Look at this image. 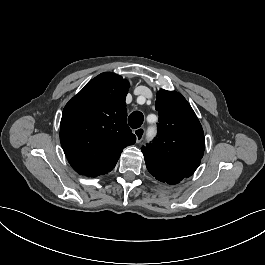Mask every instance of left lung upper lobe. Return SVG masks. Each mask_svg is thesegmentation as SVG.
<instances>
[{"label": "left lung upper lobe", "instance_id": "5c2ea615", "mask_svg": "<svg viewBox=\"0 0 265 265\" xmlns=\"http://www.w3.org/2000/svg\"><path fill=\"white\" fill-rule=\"evenodd\" d=\"M157 137L141 148L148 171L159 181L177 184L190 177L204 154V133L193 109L175 91L157 92Z\"/></svg>", "mask_w": 265, "mask_h": 265}]
</instances>
